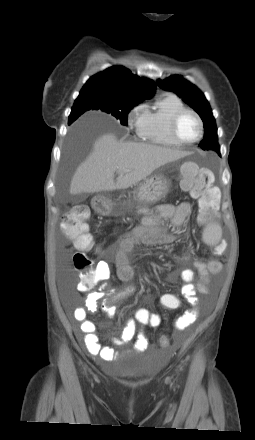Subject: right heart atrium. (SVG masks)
I'll return each mask as SVG.
<instances>
[{
    "instance_id": "obj_1",
    "label": "right heart atrium",
    "mask_w": 255,
    "mask_h": 440,
    "mask_svg": "<svg viewBox=\"0 0 255 440\" xmlns=\"http://www.w3.org/2000/svg\"><path fill=\"white\" fill-rule=\"evenodd\" d=\"M145 108L142 105H137L128 113V122L132 127L139 128L144 114Z\"/></svg>"
}]
</instances>
